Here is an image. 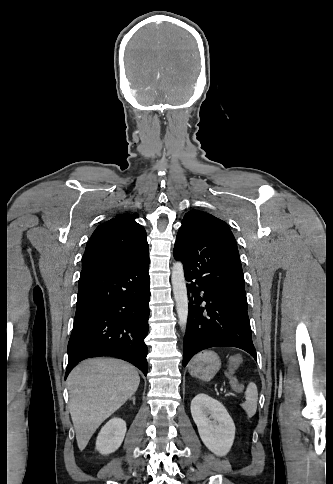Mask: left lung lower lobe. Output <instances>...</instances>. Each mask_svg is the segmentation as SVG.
Returning <instances> with one entry per match:
<instances>
[{
    "mask_svg": "<svg viewBox=\"0 0 333 484\" xmlns=\"http://www.w3.org/2000/svg\"><path fill=\"white\" fill-rule=\"evenodd\" d=\"M174 257L183 263L190 300L183 366L197 352L219 346L243 349L257 360L244 276L230 228L219 222L183 221Z\"/></svg>",
    "mask_w": 333,
    "mask_h": 484,
    "instance_id": "obj_1",
    "label": "left lung lower lobe"
}]
</instances>
